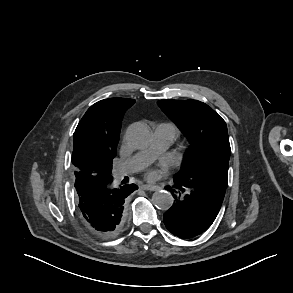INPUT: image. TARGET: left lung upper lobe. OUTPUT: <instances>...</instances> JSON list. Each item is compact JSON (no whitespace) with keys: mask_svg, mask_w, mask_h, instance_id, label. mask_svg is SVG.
<instances>
[{"mask_svg":"<svg viewBox=\"0 0 293 293\" xmlns=\"http://www.w3.org/2000/svg\"><path fill=\"white\" fill-rule=\"evenodd\" d=\"M158 105L190 142L182 168L174 175V180L194 181L225 192L231 153L225 121L197 100H160Z\"/></svg>","mask_w":293,"mask_h":293,"instance_id":"1","label":"left lung upper lobe"}]
</instances>
